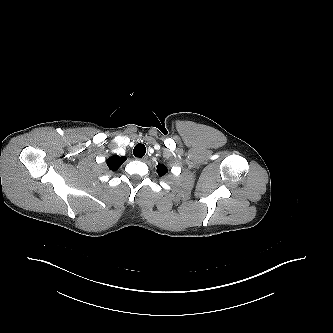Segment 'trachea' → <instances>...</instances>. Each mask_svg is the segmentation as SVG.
<instances>
[{
    "mask_svg": "<svg viewBox=\"0 0 333 333\" xmlns=\"http://www.w3.org/2000/svg\"><path fill=\"white\" fill-rule=\"evenodd\" d=\"M145 153L146 147L141 143H138L133 149V154L135 157L141 158L145 155Z\"/></svg>",
    "mask_w": 333,
    "mask_h": 333,
    "instance_id": "3493384b",
    "label": "trachea"
}]
</instances>
